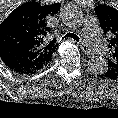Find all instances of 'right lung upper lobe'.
Returning <instances> with one entry per match:
<instances>
[{"instance_id": "right-lung-upper-lobe-1", "label": "right lung upper lobe", "mask_w": 118, "mask_h": 118, "mask_svg": "<svg viewBox=\"0 0 118 118\" xmlns=\"http://www.w3.org/2000/svg\"><path fill=\"white\" fill-rule=\"evenodd\" d=\"M60 5L27 2L0 24V58L7 67L21 74H32L50 63L58 44L54 39L49 41L46 18L56 14Z\"/></svg>"}]
</instances>
